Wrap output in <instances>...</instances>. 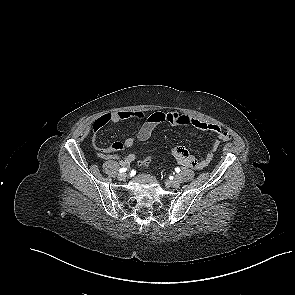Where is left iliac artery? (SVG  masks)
<instances>
[{
	"label": "left iliac artery",
	"mask_w": 295,
	"mask_h": 295,
	"mask_svg": "<svg viewBox=\"0 0 295 295\" xmlns=\"http://www.w3.org/2000/svg\"><path fill=\"white\" fill-rule=\"evenodd\" d=\"M175 171H176L177 173H179V172H180V168H179V167L175 168Z\"/></svg>",
	"instance_id": "44dca946"
}]
</instances>
